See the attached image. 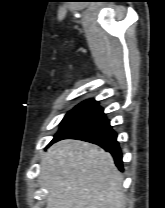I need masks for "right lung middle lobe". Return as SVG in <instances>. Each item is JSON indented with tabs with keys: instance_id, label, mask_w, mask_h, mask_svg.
<instances>
[{
	"instance_id": "dd1d6c3e",
	"label": "right lung middle lobe",
	"mask_w": 165,
	"mask_h": 208,
	"mask_svg": "<svg viewBox=\"0 0 165 208\" xmlns=\"http://www.w3.org/2000/svg\"><path fill=\"white\" fill-rule=\"evenodd\" d=\"M91 108L87 107H75L73 110L69 111L62 122L58 133L55 135L54 139L59 137L65 130L77 122L80 118L91 112ZM53 139V140H54Z\"/></svg>"
}]
</instances>
